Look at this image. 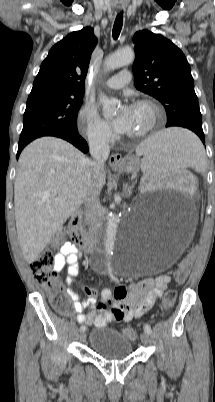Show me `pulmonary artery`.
<instances>
[{
  "instance_id": "1",
  "label": "pulmonary artery",
  "mask_w": 215,
  "mask_h": 402,
  "mask_svg": "<svg viewBox=\"0 0 215 402\" xmlns=\"http://www.w3.org/2000/svg\"><path fill=\"white\" fill-rule=\"evenodd\" d=\"M131 74L128 71H121L109 78L105 85L111 89H119L129 83Z\"/></svg>"
}]
</instances>
